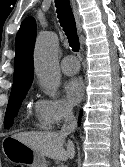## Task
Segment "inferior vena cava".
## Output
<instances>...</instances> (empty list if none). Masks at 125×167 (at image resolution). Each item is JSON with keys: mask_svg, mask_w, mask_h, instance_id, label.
Masks as SVG:
<instances>
[{"mask_svg": "<svg viewBox=\"0 0 125 167\" xmlns=\"http://www.w3.org/2000/svg\"><path fill=\"white\" fill-rule=\"evenodd\" d=\"M63 119H64V124L61 129V134L62 135H68L71 132H74L76 127H77V120L73 115V112L69 108H65L63 110Z\"/></svg>", "mask_w": 125, "mask_h": 167, "instance_id": "inferior-vena-cava-1", "label": "inferior vena cava"}]
</instances>
